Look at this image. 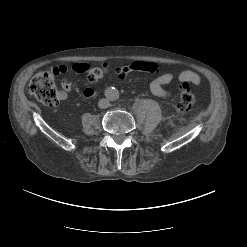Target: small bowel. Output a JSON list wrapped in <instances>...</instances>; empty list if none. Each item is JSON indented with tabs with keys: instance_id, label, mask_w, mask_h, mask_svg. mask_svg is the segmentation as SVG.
<instances>
[{
	"instance_id": "obj_1",
	"label": "small bowel",
	"mask_w": 247,
	"mask_h": 247,
	"mask_svg": "<svg viewBox=\"0 0 247 247\" xmlns=\"http://www.w3.org/2000/svg\"><path fill=\"white\" fill-rule=\"evenodd\" d=\"M90 69V65L85 62H77L71 66L61 64L52 67V73L56 76L64 75L69 72L75 74H83L88 72ZM132 71H142L146 73H154L157 71V65L151 62H133L132 64L121 67L116 70L117 76H125ZM177 79L181 83H191L194 85H199L201 82L200 76L191 70L182 71L178 76ZM174 80V75L169 72L161 73L156 76L150 83V91L156 97L162 99H169L172 97V93L167 91L164 87L170 84ZM62 90L59 92L60 100H65L69 92L73 89V82L70 78H65L62 82ZM83 95L86 98H91L95 95V90L93 88H86L83 91Z\"/></svg>"
}]
</instances>
